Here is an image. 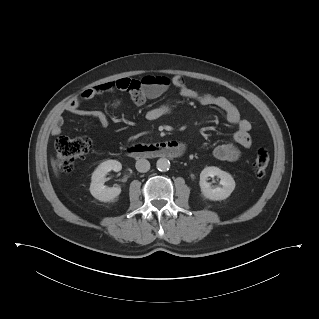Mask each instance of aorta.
<instances>
[{"label":"aorta","mask_w":319,"mask_h":319,"mask_svg":"<svg viewBox=\"0 0 319 319\" xmlns=\"http://www.w3.org/2000/svg\"><path fill=\"white\" fill-rule=\"evenodd\" d=\"M157 169L161 172L168 171L170 168V162L166 158H160L158 159L156 163Z\"/></svg>","instance_id":"obj_1"}]
</instances>
